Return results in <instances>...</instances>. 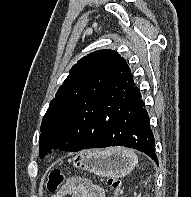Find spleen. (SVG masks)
I'll return each mask as SVG.
<instances>
[{
    "label": "spleen",
    "instance_id": "1",
    "mask_svg": "<svg viewBox=\"0 0 191 197\" xmlns=\"http://www.w3.org/2000/svg\"><path fill=\"white\" fill-rule=\"evenodd\" d=\"M119 151L125 156L131 158L135 163L137 162V156L132 150L121 148Z\"/></svg>",
    "mask_w": 191,
    "mask_h": 197
}]
</instances>
